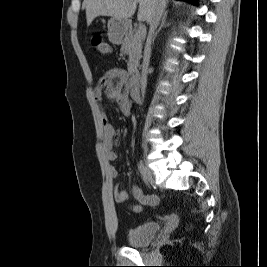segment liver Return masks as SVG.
<instances>
[{
  "label": "liver",
  "instance_id": "6515ba94",
  "mask_svg": "<svg viewBox=\"0 0 267 267\" xmlns=\"http://www.w3.org/2000/svg\"><path fill=\"white\" fill-rule=\"evenodd\" d=\"M139 4L138 21L150 22L158 7L163 11L167 0H84L82 7L86 10V20L89 26L97 16H111L128 20Z\"/></svg>",
  "mask_w": 267,
  "mask_h": 267
}]
</instances>
